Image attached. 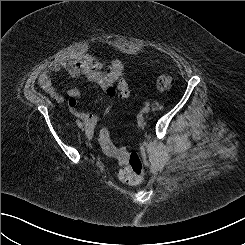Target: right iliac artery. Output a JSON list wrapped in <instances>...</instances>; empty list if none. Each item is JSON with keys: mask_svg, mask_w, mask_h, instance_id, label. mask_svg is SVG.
<instances>
[{"mask_svg": "<svg viewBox=\"0 0 245 245\" xmlns=\"http://www.w3.org/2000/svg\"><path fill=\"white\" fill-rule=\"evenodd\" d=\"M76 123L78 126L81 124L80 120H76Z\"/></svg>", "mask_w": 245, "mask_h": 245, "instance_id": "right-iliac-artery-1", "label": "right iliac artery"}]
</instances>
